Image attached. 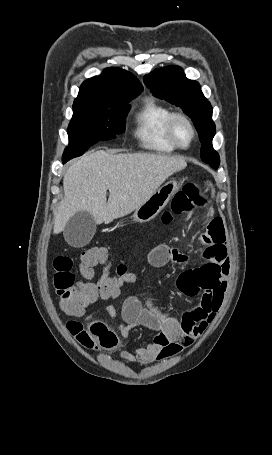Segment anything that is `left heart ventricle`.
I'll return each instance as SVG.
<instances>
[{
	"label": "left heart ventricle",
	"mask_w": 272,
	"mask_h": 455,
	"mask_svg": "<svg viewBox=\"0 0 272 455\" xmlns=\"http://www.w3.org/2000/svg\"><path fill=\"white\" fill-rule=\"evenodd\" d=\"M174 132H175L177 141L181 145H186L189 143V141L191 139V130L184 121H182V120L176 121L175 126H174Z\"/></svg>",
	"instance_id": "b2bd125f"
}]
</instances>
